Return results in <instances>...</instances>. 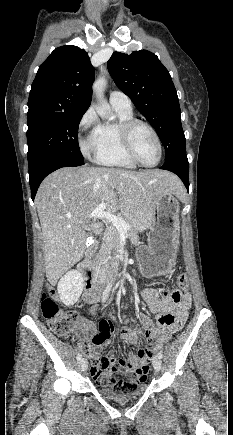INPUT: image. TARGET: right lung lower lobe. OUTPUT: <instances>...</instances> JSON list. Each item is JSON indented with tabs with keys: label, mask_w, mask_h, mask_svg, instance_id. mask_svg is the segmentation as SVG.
<instances>
[{
	"label": "right lung lower lobe",
	"mask_w": 233,
	"mask_h": 435,
	"mask_svg": "<svg viewBox=\"0 0 233 435\" xmlns=\"http://www.w3.org/2000/svg\"><path fill=\"white\" fill-rule=\"evenodd\" d=\"M83 164L84 162H79L60 155H45L30 161L29 177L32 200L35 198L40 183L48 174L62 167H75Z\"/></svg>",
	"instance_id": "1"
}]
</instances>
